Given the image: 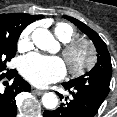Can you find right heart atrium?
Masks as SVG:
<instances>
[{
  "label": "right heart atrium",
  "instance_id": "right-heart-atrium-1",
  "mask_svg": "<svg viewBox=\"0 0 117 117\" xmlns=\"http://www.w3.org/2000/svg\"><path fill=\"white\" fill-rule=\"evenodd\" d=\"M33 26H28L23 30L18 41V47L21 50L27 49L31 46V33Z\"/></svg>",
  "mask_w": 117,
  "mask_h": 117
}]
</instances>
